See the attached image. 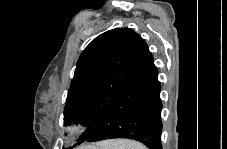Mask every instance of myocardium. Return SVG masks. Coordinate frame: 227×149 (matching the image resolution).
<instances>
[{
  "instance_id": "obj_1",
  "label": "myocardium",
  "mask_w": 227,
  "mask_h": 149,
  "mask_svg": "<svg viewBox=\"0 0 227 149\" xmlns=\"http://www.w3.org/2000/svg\"><path fill=\"white\" fill-rule=\"evenodd\" d=\"M83 129L84 126L81 121H73L66 127V132L68 136H73L81 133Z\"/></svg>"
}]
</instances>
